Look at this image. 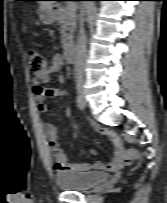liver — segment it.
I'll use <instances>...</instances> for the list:
<instances>
[{
  "label": "liver",
  "mask_w": 167,
  "mask_h": 203,
  "mask_svg": "<svg viewBox=\"0 0 167 203\" xmlns=\"http://www.w3.org/2000/svg\"><path fill=\"white\" fill-rule=\"evenodd\" d=\"M53 2H49V1H45V2H42L41 3V7H44V8H50V7H53Z\"/></svg>",
  "instance_id": "1"
}]
</instances>
